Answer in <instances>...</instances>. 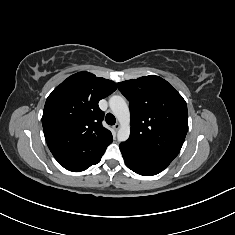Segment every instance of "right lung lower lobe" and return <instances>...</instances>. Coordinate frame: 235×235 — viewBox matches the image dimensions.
Listing matches in <instances>:
<instances>
[{"label": "right lung lower lobe", "instance_id": "1", "mask_svg": "<svg viewBox=\"0 0 235 235\" xmlns=\"http://www.w3.org/2000/svg\"><path fill=\"white\" fill-rule=\"evenodd\" d=\"M104 152L88 162L80 163V164L63 165V167L66 168L67 170L73 171V172L84 171L87 168H89L90 166L99 163Z\"/></svg>", "mask_w": 235, "mask_h": 235}]
</instances>
